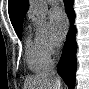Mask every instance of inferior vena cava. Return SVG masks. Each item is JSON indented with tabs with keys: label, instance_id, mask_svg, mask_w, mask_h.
Listing matches in <instances>:
<instances>
[{
	"label": "inferior vena cava",
	"instance_id": "602c4592",
	"mask_svg": "<svg viewBox=\"0 0 89 89\" xmlns=\"http://www.w3.org/2000/svg\"><path fill=\"white\" fill-rule=\"evenodd\" d=\"M60 46H61V43L57 42L56 43V47H60ZM52 75H56V71L55 70L52 71Z\"/></svg>",
	"mask_w": 89,
	"mask_h": 89
}]
</instances>
